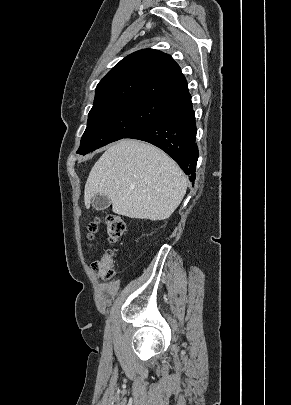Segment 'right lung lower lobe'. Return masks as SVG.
<instances>
[{
  "instance_id": "right-lung-lower-lobe-1",
  "label": "right lung lower lobe",
  "mask_w": 291,
  "mask_h": 405,
  "mask_svg": "<svg viewBox=\"0 0 291 405\" xmlns=\"http://www.w3.org/2000/svg\"><path fill=\"white\" fill-rule=\"evenodd\" d=\"M195 113L189 91L177 97L151 121L125 138L149 142L171 156L194 181L198 160Z\"/></svg>"
}]
</instances>
